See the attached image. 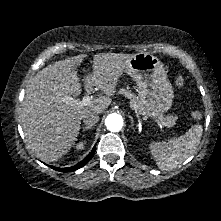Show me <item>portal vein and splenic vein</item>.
<instances>
[{"instance_id":"18ae733b","label":"portal vein and splenic vein","mask_w":221,"mask_h":221,"mask_svg":"<svg viewBox=\"0 0 221 221\" xmlns=\"http://www.w3.org/2000/svg\"><path fill=\"white\" fill-rule=\"evenodd\" d=\"M65 102L67 104H71V105H74V106H77V107H83V106H87V105L91 104L92 101L90 100L89 96H84L81 101L74 100L72 98H68V99L65 100ZM155 122L160 123L163 126H166V123L161 121V120H156Z\"/></svg>"}]
</instances>
